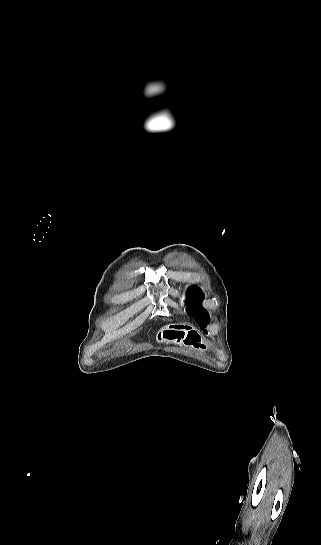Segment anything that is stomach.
<instances>
[{"label":"stomach","mask_w":321,"mask_h":545,"mask_svg":"<svg viewBox=\"0 0 321 545\" xmlns=\"http://www.w3.org/2000/svg\"><path fill=\"white\" fill-rule=\"evenodd\" d=\"M155 339L157 343H174L195 351H205L201 333L189 323H170L158 331Z\"/></svg>","instance_id":"obj_1"}]
</instances>
